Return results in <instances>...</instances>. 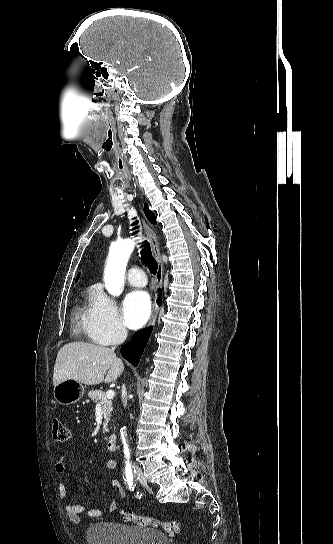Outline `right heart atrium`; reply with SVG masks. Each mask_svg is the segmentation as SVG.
Here are the masks:
<instances>
[{
  "label": "right heart atrium",
  "instance_id": "1",
  "mask_svg": "<svg viewBox=\"0 0 333 544\" xmlns=\"http://www.w3.org/2000/svg\"><path fill=\"white\" fill-rule=\"evenodd\" d=\"M83 329L86 335L99 345L116 344L127 336V329L115 300L102 291L94 293L84 316Z\"/></svg>",
  "mask_w": 333,
  "mask_h": 544
}]
</instances>
